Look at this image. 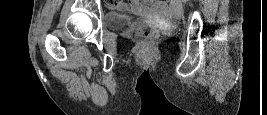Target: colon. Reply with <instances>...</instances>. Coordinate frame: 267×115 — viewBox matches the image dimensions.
<instances>
[{
    "mask_svg": "<svg viewBox=\"0 0 267 115\" xmlns=\"http://www.w3.org/2000/svg\"><path fill=\"white\" fill-rule=\"evenodd\" d=\"M136 36L143 42H152L158 38L159 32L153 26H144L136 32Z\"/></svg>",
    "mask_w": 267,
    "mask_h": 115,
    "instance_id": "obj_1",
    "label": "colon"
}]
</instances>
